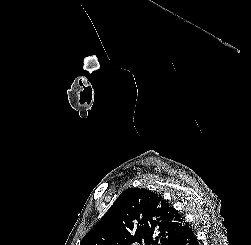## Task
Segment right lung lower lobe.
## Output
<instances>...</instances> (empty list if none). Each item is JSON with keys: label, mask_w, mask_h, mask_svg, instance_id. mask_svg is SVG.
Wrapping results in <instances>:
<instances>
[{"label": "right lung lower lobe", "mask_w": 251, "mask_h": 245, "mask_svg": "<svg viewBox=\"0 0 251 245\" xmlns=\"http://www.w3.org/2000/svg\"><path fill=\"white\" fill-rule=\"evenodd\" d=\"M166 245H198L197 238L193 230L189 227L186 232H183L179 237L169 241Z\"/></svg>", "instance_id": "right-lung-lower-lobe-1"}]
</instances>
